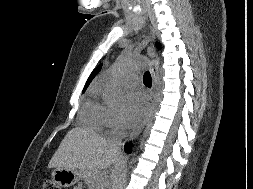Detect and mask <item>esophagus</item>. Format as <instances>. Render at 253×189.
Returning a JSON list of instances; mask_svg holds the SVG:
<instances>
[{"instance_id":"obj_1","label":"esophagus","mask_w":253,"mask_h":189,"mask_svg":"<svg viewBox=\"0 0 253 189\" xmlns=\"http://www.w3.org/2000/svg\"><path fill=\"white\" fill-rule=\"evenodd\" d=\"M152 37H153V39L155 38L153 31H152ZM149 54L151 57V64H150L149 70H150V73L152 76V81H153L152 90H151L150 99H149V107H148L145 117L143 118L141 123L128 135V137L126 138L125 141H130L141 133V131L143 130V128L145 127V125L147 124L149 119L151 118V116L154 112L155 106H156V102H157V71H158V66H159V58L156 55L154 49H151Z\"/></svg>"}]
</instances>
